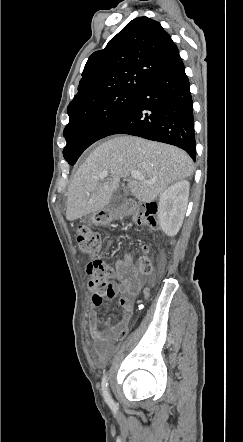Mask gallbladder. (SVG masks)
Wrapping results in <instances>:
<instances>
[{"mask_svg": "<svg viewBox=\"0 0 243 442\" xmlns=\"http://www.w3.org/2000/svg\"><path fill=\"white\" fill-rule=\"evenodd\" d=\"M123 192H124L125 195L128 194V188L127 187H123Z\"/></svg>", "mask_w": 243, "mask_h": 442, "instance_id": "gallbladder-1", "label": "gallbladder"}]
</instances>
